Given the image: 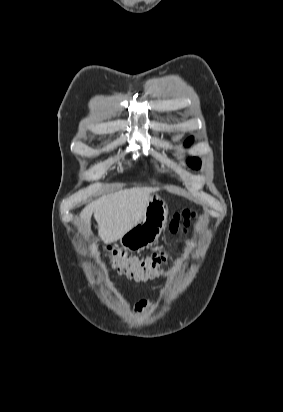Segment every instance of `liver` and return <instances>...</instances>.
Returning <instances> with one entry per match:
<instances>
[{"label":"liver","mask_w":283,"mask_h":412,"mask_svg":"<svg viewBox=\"0 0 283 412\" xmlns=\"http://www.w3.org/2000/svg\"><path fill=\"white\" fill-rule=\"evenodd\" d=\"M156 190L134 187L102 196L82 210L81 221L90 233V221L94 214L99 237L106 244L116 242L143 219L150 194Z\"/></svg>","instance_id":"6515ba94"}]
</instances>
